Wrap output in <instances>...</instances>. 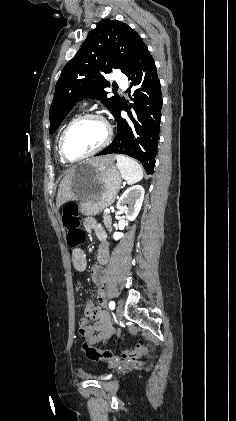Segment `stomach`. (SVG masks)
Wrapping results in <instances>:
<instances>
[{
  "label": "stomach",
  "instance_id": "stomach-1",
  "mask_svg": "<svg viewBox=\"0 0 236 421\" xmlns=\"http://www.w3.org/2000/svg\"><path fill=\"white\" fill-rule=\"evenodd\" d=\"M122 184V176L115 164L97 166L90 160L79 162L74 168L73 188L79 211L85 217L99 215L114 202Z\"/></svg>",
  "mask_w": 236,
  "mask_h": 421
}]
</instances>
